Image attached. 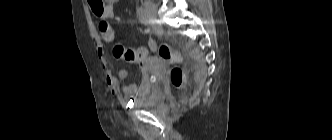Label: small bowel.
<instances>
[{
    "label": "small bowel",
    "instance_id": "1",
    "mask_svg": "<svg viewBox=\"0 0 332 140\" xmlns=\"http://www.w3.org/2000/svg\"><path fill=\"white\" fill-rule=\"evenodd\" d=\"M119 0H109V3L107 4L105 11L102 14V18L104 19H110L113 18L114 16V5L115 3H117ZM101 39L106 42V43H111L114 41L115 39V33L113 35L110 36H101ZM147 54L146 53L145 57L137 62L138 64L141 65L142 71H143V76L141 79L140 84H125L122 87V91L125 95L128 96H143L146 93H148V91L150 90L151 87V81L149 79V77L146 74V59H147ZM101 64L103 67V71L105 74V81L108 85V87L110 88V90L114 93L118 92L119 90V80L123 81L127 79L128 76V72L125 69H121L118 71L117 74V78L113 75V73L111 72V70L109 69L106 61L102 58L101 59Z\"/></svg>",
    "mask_w": 332,
    "mask_h": 140
}]
</instances>
